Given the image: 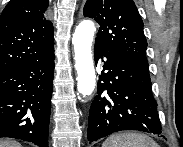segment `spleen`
Segmentation results:
<instances>
[{
  "label": "spleen",
  "instance_id": "spleen-1",
  "mask_svg": "<svg viewBox=\"0 0 183 147\" xmlns=\"http://www.w3.org/2000/svg\"><path fill=\"white\" fill-rule=\"evenodd\" d=\"M102 147H159V145L145 134L124 132L108 137Z\"/></svg>",
  "mask_w": 183,
  "mask_h": 147
}]
</instances>
